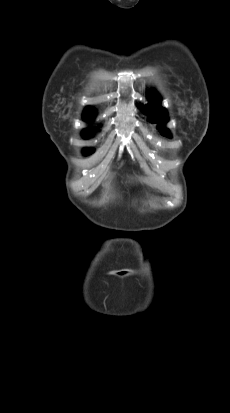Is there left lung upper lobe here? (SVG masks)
<instances>
[{
  "label": "left lung upper lobe",
  "mask_w": 230,
  "mask_h": 413,
  "mask_svg": "<svg viewBox=\"0 0 230 413\" xmlns=\"http://www.w3.org/2000/svg\"><path fill=\"white\" fill-rule=\"evenodd\" d=\"M150 100L152 102L151 105L142 106L140 109L149 116L151 122L159 124L157 128L162 135L171 138L170 132L164 127V124L168 121V114L165 108L159 106L160 96L155 91H152L150 93Z\"/></svg>",
  "instance_id": "obj_1"
}]
</instances>
